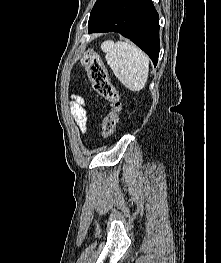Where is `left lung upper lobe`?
<instances>
[{
	"instance_id": "obj_1",
	"label": "left lung upper lobe",
	"mask_w": 221,
	"mask_h": 263,
	"mask_svg": "<svg viewBox=\"0 0 221 263\" xmlns=\"http://www.w3.org/2000/svg\"><path fill=\"white\" fill-rule=\"evenodd\" d=\"M100 1H101V0H97L96 3H95V5H96L97 3H99ZM95 5H94V6H95Z\"/></svg>"
}]
</instances>
